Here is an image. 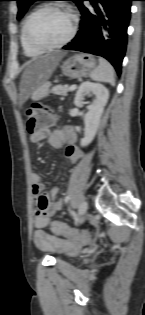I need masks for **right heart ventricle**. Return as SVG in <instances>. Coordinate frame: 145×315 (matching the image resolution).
<instances>
[{
    "label": "right heart ventricle",
    "instance_id": "e07e8e85",
    "mask_svg": "<svg viewBox=\"0 0 145 315\" xmlns=\"http://www.w3.org/2000/svg\"><path fill=\"white\" fill-rule=\"evenodd\" d=\"M32 12L28 13V15L25 17L22 25H21V28H20V42H21V46L23 48V51H24V54L28 57H37L39 55H41L43 53L42 50H39V49H36V48H33L32 46H30L26 39H25V35H24V27H25V23L28 19V17L30 16Z\"/></svg>",
    "mask_w": 145,
    "mask_h": 315
}]
</instances>
